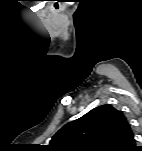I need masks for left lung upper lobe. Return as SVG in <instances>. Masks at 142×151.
<instances>
[{"instance_id":"1","label":"left lung upper lobe","mask_w":142,"mask_h":151,"mask_svg":"<svg viewBox=\"0 0 142 151\" xmlns=\"http://www.w3.org/2000/svg\"><path fill=\"white\" fill-rule=\"evenodd\" d=\"M133 138L123 112L105 104L63 126L50 147L55 151H125Z\"/></svg>"}]
</instances>
